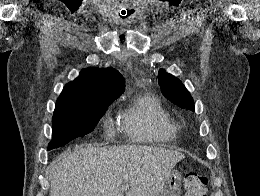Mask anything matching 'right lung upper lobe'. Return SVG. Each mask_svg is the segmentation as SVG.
Masks as SVG:
<instances>
[{"label":"right lung upper lobe","mask_w":260,"mask_h":196,"mask_svg":"<svg viewBox=\"0 0 260 196\" xmlns=\"http://www.w3.org/2000/svg\"><path fill=\"white\" fill-rule=\"evenodd\" d=\"M125 81L113 68H87L64 87L56 106L111 104L123 92Z\"/></svg>","instance_id":"1"}]
</instances>
